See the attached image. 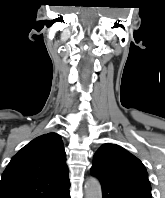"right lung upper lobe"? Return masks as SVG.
<instances>
[{
  "instance_id": "cb5924a9",
  "label": "right lung upper lobe",
  "mask_w": 165,
  "mask_h": 198,
  "mask_svg": "<svg viewBox=\"0 0 165 198\" xmlns=\"http://www.w3.org/2000/svg\"><path fill=\"white\" fill-rule=\"evenodd\" d=\"M60 135L48 133L23 147L0 181V198H61L70 187Z\"/></svg>"
}]
</instances>
